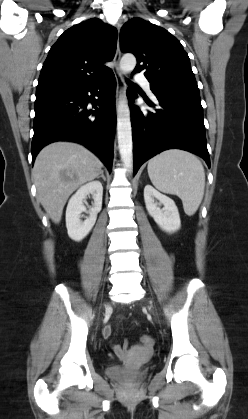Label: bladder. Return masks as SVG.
<instances>
[{
	"instance_id": "obj_1",
	"label": "bladder",
	"mask_w": 248,
	"mask_h": 419,
	"mask_svg": "<svg viewBox=\"0 0 248 419\" xmlns=\"http://www.w3.org/2000/svg\"><path fill=\"white\" fill-rule=\"evenodd\" d=\"M108 376L120 382L137 385L143 382L149 375L147 370H135L130 366H109L106 369Z\"/></svg>"
}]
</instances>
